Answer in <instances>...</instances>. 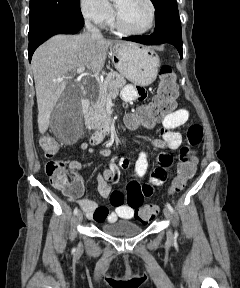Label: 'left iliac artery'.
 <instances>
[{
  "mask_svg": "<svg viewBox=\"0 0 240 288\" xmlns=\"http://www.w3.org/2000/svg\"><path fill=\"white\" fill-rule=\"evenodd\" d=\"M166 207L170 210L171 213L174 212L173 207L171 206L170 203H166ZM177 236H178V232H175V237H177Z\"/></svg>",
  "mask_w": 240,
  "mask_h": 288,
  "instance_id": "1",
  "label": "left iliac artery"
}]
</instances>
